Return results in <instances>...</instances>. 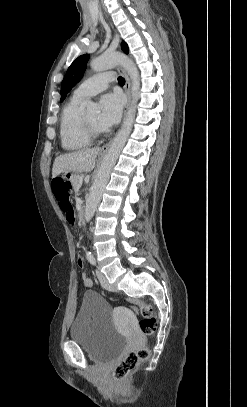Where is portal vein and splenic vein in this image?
Wrapping results in <instances>:
<instances>
[{
	"label": "portal vein and splenic vein",
	"instance_id": "1",
	"mask_svg": "<svg viewBox=\"0 0 247 407\" xmlns=\"http://www.w3.org/2000/svg\"><path fill=\"white\" fill-rule=\"evenodd\" d=\"M82 182H83V178L80 179V184H79V186L82 185Z\"/></svg>",
	"mask_w": 247,
	"mask_h": 407
}]
</instances>
